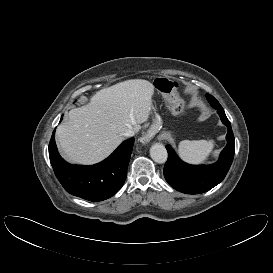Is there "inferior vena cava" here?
I'll use <instances>...</instances> for the list:
<instances>
[{"mask_svg":"<svg viewBox=\"0 0 273 273\" xmlns=\"http://www.w3.org/2000/svg\"><path fill=\"white\" fill-rule=\"evenodd\" d=\"M125 137H132L135 135V131L133 129H128L123 134Z\"/></svg>","mask_w":273,"mask_h":273,"instance_id":"1","label":"inferior vena cava"}]
</instances>
